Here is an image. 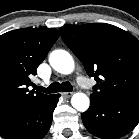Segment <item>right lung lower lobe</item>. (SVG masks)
<instances>
[{
    "mask_svg": "<svg viewBox=\"0 0 139 139\" xmlns=\"http://www.w3.org/2000/svg\"><path fill=\"white\" fill-rule=\"evenodd\" d=\"M59 96L54 94L36 108L1 122L0 136L4 139H42L50 129Z\"/></svg>",
    "mask_w": 139,
    "mask_h": 139,
    "instance_id": "1",
    "label": "right lung lower lobe"
}]
</instances>
